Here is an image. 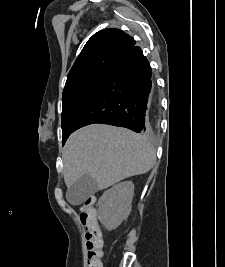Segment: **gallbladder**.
I'll list each match as a JSON object with an SVG mask.
<instances>
[{
  "instance_id": "gallbladder-1",
  "label": "gallbladder",
  "mask_w": 225,
  "mask_h": 267,
  "mask_svg": "<svg viewBox=\"0 0 225 267\" xmlns=\"http://www.w3.org/2000/svg\"><path fill=\"white\" fill-rule=\"evenodd\" d=\"M97 190L98 184L96 180L89 175H85L68 188L66 198L70 204L79 205Z\"/></svg>"
}]
</instances>
